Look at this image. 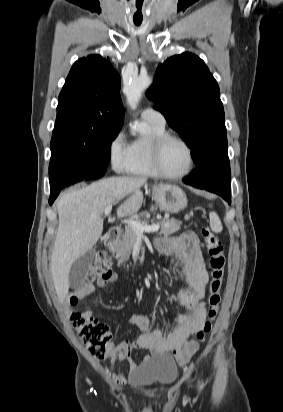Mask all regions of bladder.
<instances>
[{"mask_svg": "<svg viewBox=\"0 0 283 412\" xmlns=\"http://www.w3.org/2000/svg\"><path fill=\"white\" fill-rule=\"evenodd\" d=\"M177 374L175 361L171 357H163L133 373L130 382L138 387L166 386L175 381Z\"/></svg>", "mask_w": 283, "mask_h": 412, "instance_id": "bladder-1", "label": "bladder"}]
</instances>
